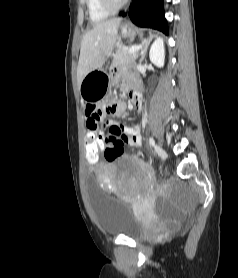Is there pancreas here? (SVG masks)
<instances>
[{"label": "pancreas", "mask_w": 238, "mask_h": 278, "mask_svg": "<svg viewBox=\"0 0 238 278\" xmlns=\"http://www.w3.org/2000/svg\"><path fill=\"white\" fill-rule=\"evenodd\" d=\"M138 56L137 52L129 54V49L126 46H121L114 54L112 66L116 67L127 63H133Z\"/></svg>", "instance_id": "obj_1"}]
</instances>
